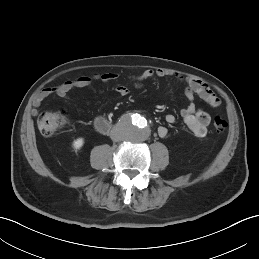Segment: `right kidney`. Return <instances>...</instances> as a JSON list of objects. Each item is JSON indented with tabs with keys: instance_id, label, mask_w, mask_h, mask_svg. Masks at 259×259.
<instances>
[{
	"instance_id": "ca27d5eb",
	"label": "right kidney",
	"mask_w": 259,
	"mask_h": 259,
	"mask_svg": "<svg viewBox=\"0 0 259 259\" xmlns=\"http://www.w3.org/2000/svg\"><path fill=\"white\" fill-rule=\"evenodd\" d=\"M84 144V139L83 138H77L76 140L73 141L72 147L76 150L80 149Z\"/></svg>"
}]
</instances>
